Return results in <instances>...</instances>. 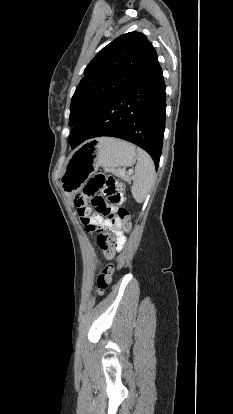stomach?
I'll return each mask as SVG.
<instances>
[{
    "instance_id": "obj_1",
    "label": "stomach",
    "mask_w": 233,
    "mask_h": 414,
    "mask_svg": "<svg viewBox=\"0 0 233 414\" xmlns=\"http://www.w3.org/2000/svg\"><path fill=\"white\" fill-rule=\"evenodd\" d=\"M136 159L137 151L131 143L115 138L92 139L69 156L61 178L63 191L72 198L100 166L115 172L131 167Z\"/></svg>"
}]
</instances>
